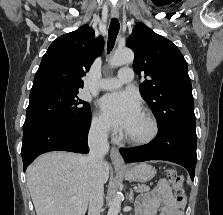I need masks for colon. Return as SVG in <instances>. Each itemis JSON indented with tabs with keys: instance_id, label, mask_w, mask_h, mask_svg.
<instances>
[{
	"instance_id": "obj_1",
	"label": "colon",
	"mask_w": 223,
	"mask_h": 215,
	"mask_svg": "<svg viewBox=\"0 0 223 215\" xmlns=\"http://www.w3.org/2000/svg\"><path fill=\"white\" fill-rule=\"evenodd\" d=\"M166 176L173 186L177 201L179 203H183L185 200V192L183 189V177L173 169H168L166 171Z\"/></svg>"
}]
</instances>
